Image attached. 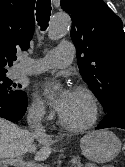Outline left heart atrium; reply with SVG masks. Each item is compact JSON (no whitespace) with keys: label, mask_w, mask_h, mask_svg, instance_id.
Masks as SVG:
<instances>
[{"label":"left heart atrium","mask_w":125,"mask_h":167,"mask_svg":"<svg viewBox=\"0 0 125 167\" xmlns=\"http://www.w3.org/2000/svg\"><path fill=\"white\" fill-rule=\"evenodd\" d=\"M43 91L46 98L60 114L66 109L73 93V91L67 87L56 92L52 84H46Z\"/></svg>","instance_id":"1"}]
</instances>
